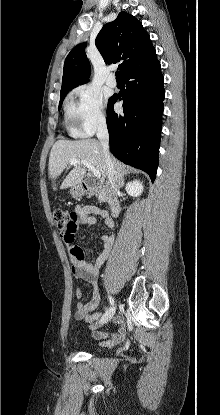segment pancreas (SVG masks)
<instances>
[{
    "label": "pancreas",
    "instance_id": "pancreas-1",
    "mask_svg": "<svg viewBox=\"0 0 220 415\" xmlns=\"http://www.w3.org/2000/svg\"><path fill=\"white\" fill-rule=\"evenodd\" d=\"M98 198H99L100 201H105V193L98 192Z\"/></svg>",
    "mask_w": 220,
    "mask_h": 415
}]
</instances>
